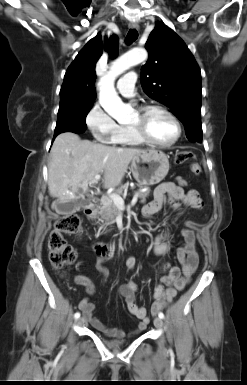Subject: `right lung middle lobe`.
Segmentation results:
<instances>
[{
  "label": "right lung middle lobe",
  "mask_w": 247,
  "mask_h": 385,
  "mask_svg": "<svg viewBox=\"0 0 247 385\" xmlns=\"http://www.w3.org/2000/svg\"><path fill=\"white\" fill-rule=\"evenodd\" d=\"M93 102L74 98L60 99L54 136L63 132L83 133L87 128L86 116Z\"/></svg>",
  "instance_id": "obj_1"
}]
</instances>
